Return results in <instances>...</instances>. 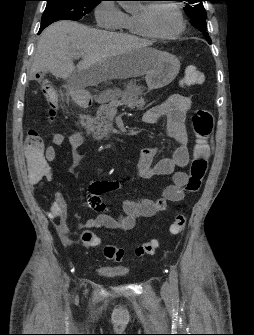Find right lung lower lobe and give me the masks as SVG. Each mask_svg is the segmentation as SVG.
<instances>
[{
    "mask_svg": "<svg viewBox=\"0 0 254 335\" xmlns=\"http://www.w3.org/2000/svg\"><path fill=\"white\" fill-rule=\"evenodd\" d=\"M50 24H51V23L41 24L40 29H39V33H41L42 30H43L44 28H46L48 25H50Z\"/></svg>",
    "mask_w": 254,
    "mask_h": 335,
    "instance_id": "1",
    "label": "right lung lower lobe"
}]
</instances>
